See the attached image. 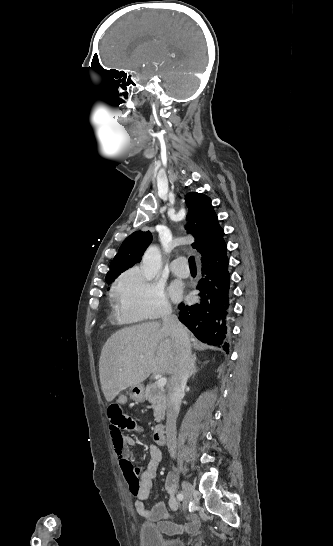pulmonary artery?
<instances>
[{"label": "pulmonary artery", "mask_w": 333, "mask_h": 546, "mask_svg": "<svg viewBox=\"0 0 333 546\" xmlns=\"http://www.w3.org/2000/svg\"><path fill=\"white\" fill-rule=\"evenodd\" d=\"M170 269L172 273L178 277L186 278L190 274L187 260L183 257L173 260L170 265Z\"/></svg>", "instance_id": "pulmonary-artery-1"}]
</instances>
